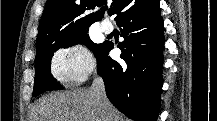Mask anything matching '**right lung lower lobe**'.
Returning <instances> with one entry per match:
<instances>
[{"mask_svg":"<svg viewBox=\"0 0 217 121\" xmlns=\"http://www.w3.org/2000/svg\"><path fill=\"white\" fill-rule=\"evenodd\" d=\"M124 41L123 61L113 60L112 42H104L97 71L110 102L135 121H156L160 108L163 59V19L158 0H134L116 20Z\"/></svg>","mask_w":217,"mask_h":121,"instance_id":"1","label":"right lung lower lobe"}]
</instances>
